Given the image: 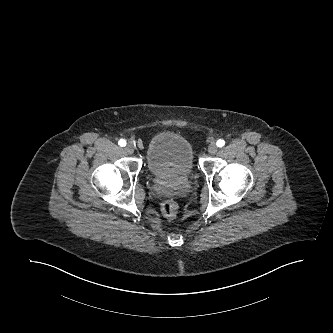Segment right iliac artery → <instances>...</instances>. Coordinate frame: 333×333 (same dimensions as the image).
I'll return each instance as SVG.
<instances>
[{"label":"right iliac artery","mask_w":333,"mask_h":333,"mask_svg":"<svg viewBox=\"0 0 333 333\" xmlns=\"http://www.w3.org/2000/svg\"><path fill=\"white\" fill-rule=\"evenodd\" d=\"M118 144L121 146V147H124L126 145V141L124 139H120Z\"/></svg>","instance_id":"82829eb1"}]
</instances>
